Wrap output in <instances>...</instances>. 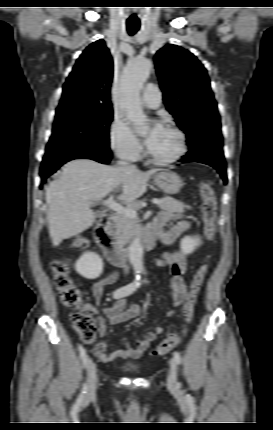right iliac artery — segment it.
Wrapping results in <instances>:
<instances>
[{"label": "right iliac artery", "mask_w": 273, "mask_h": 430, "mask_svg": "<svg viewBox=\"0 0 273 430\" xmlns=\"http://www.w3.org/2000/svg\"><path fill=\"white\" fill-rule=\"evenodd\" d=\"M140 285H141V283H140V276L137 275L136 279L133 282H131L128 285L123 286V287L115 290L114 293H113V297H114V299H119V298H122V297L129 296L136 289H138L140 287ZM78 349H79L80 357H81V359L83 361V364H84V366H86L87 365V360H88L86 350L81 345L78 346ZM86 388H87V385L84 384L82 394L85 393Z\"/></svg>", "instance_id": "obj_1"}]
</instances>
